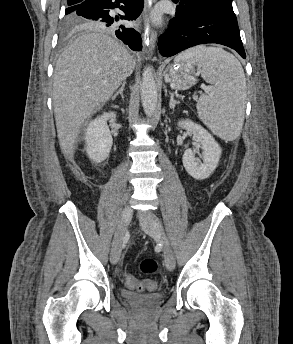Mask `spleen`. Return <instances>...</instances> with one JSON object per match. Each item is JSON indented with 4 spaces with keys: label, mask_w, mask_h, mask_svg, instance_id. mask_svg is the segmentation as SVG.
Segmentation results:
<instances>
[{
    "label": "spleen",
    "mask_w": 293,
    "mask_h": 344,
    "mask_svg": "<svg viewBox=\"0 0 293 344\" xmlns=\"http://www.w3.org/2000/svg\"><path fill=\"white\" fill-rule=\"evenodd\" d=\"M200 68L203 79L212 84L210 93L197 101L202 122L217 136L234 140L244 122L246 79L239 61L221 48L198 46L180 54Z\"/></svg>",
    "instance_id": "3e777b00"
}]
</instances>
